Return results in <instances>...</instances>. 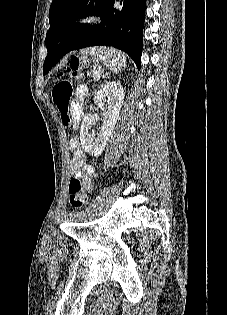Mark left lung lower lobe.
Wrapping results in <instances>:
<instances>
[{
	"instance_id": "obj_1",
	"label": "left lung lower lobe",
	"mask_w": 227,
	"mask_h": 315,
	"mask_svg": "<svg viewBox=\"0 0 227 315\" xmlns=\"http://www.w3.org/2000/svg\"><path fill=\"white\" fill-rule=\"evenodd\" d=\"M115 1H107L99 15L101 23L91 26L86 36L74 45L68 46L63 39L54 37L46 41L45 74L69 51L90 46L120 49L140 69L146 0H117L122 5L121 9L114 8Z\"/></svg>"
}]
</instances>
